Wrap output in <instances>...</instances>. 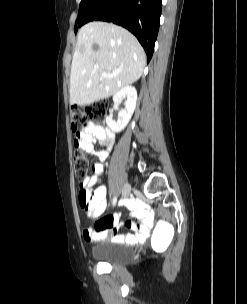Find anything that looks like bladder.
<instances>
[{
    "label": "bladder",
    "mask_w": 247,
    "mask_h": 304,
    "mask_svg": "<svg viewBox=\"0 0 247 304\" xmlns=\"http://www.w3.org/2000/svg\"><path fill=\"white\" fill-rule=\"evenodd\" d=\"M133 254L131 246L114 241L103 242L92 249L93 259L110 265H122L129 261Z\"/></svg>",
    "instance_id": "1"
}]
</instances>
